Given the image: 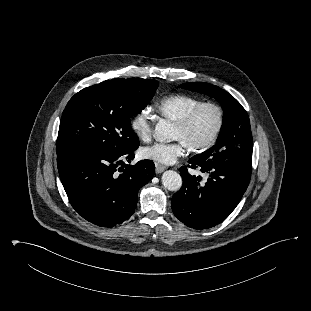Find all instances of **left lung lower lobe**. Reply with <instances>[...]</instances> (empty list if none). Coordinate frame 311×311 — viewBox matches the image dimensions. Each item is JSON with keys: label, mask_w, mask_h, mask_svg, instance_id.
Segmentation results:
<instances>
[{"label": "left lung lower lobe", "mask_w": 311, "mask_h": 311, "mask_svg": "<svg viewBox=\"0 0 311 311\" xmlns=\"http://www.w3.org/2000/svg\"><path fill=\"white\" fill-rule=\"evenodd\" d=\"M187 168L209 174L207 182L200 184V176L190 175ZM179 170L183 185L172 197V210L181 222L195 229H207L226 219L251 178V162L241 160L210 162L191 158L188 166Z\"/></svg>", "instance_id": "1"}]
</instances>
